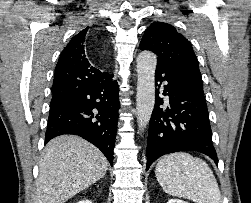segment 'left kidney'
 Returning <instances> with one entry per match:
<instances>
[{
  "mask_svg": "<svg viewBox=\"0 0 251 203\" xmlns=\"http://www.w3.org/2000/svg\"><path fill=\"white\" fill-rule=\"evenodd\" d=\"M167 203H188L186 201L180 200V199H170Z\"/></svg>",
  "mask_w": 251,
  "mask_h": 203,
  "instance_id": "left-kidney-1",
  "label": "left kidney"
}]
</instances>
